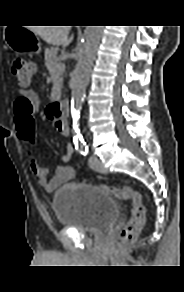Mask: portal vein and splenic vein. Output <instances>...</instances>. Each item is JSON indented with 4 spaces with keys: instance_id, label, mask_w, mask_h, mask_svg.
<instances>
[{
    "instance_id": "obj_1",
    "label": "portal vein and splenic vein",
    "mask_w": 184,
    "mask_h": 292,
    "mask_svg": "<svg viewBox=\"0 0 184 292\" xmlns=\"http://www.w3.org/2000/svg\"><path fill=\"white\" fill-rule=\"evenodd\" d=\"M58 69L64 71V69H65V65H64V64L59 65V66H58Z\"/></svg>"
}]
</instances>
